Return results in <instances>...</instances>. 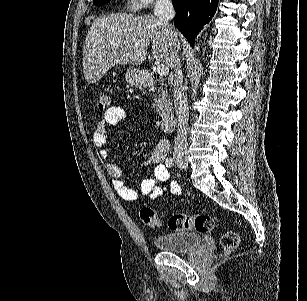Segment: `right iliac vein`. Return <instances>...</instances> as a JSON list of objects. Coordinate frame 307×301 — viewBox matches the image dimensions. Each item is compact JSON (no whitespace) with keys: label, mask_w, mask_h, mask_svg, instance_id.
Instances as JSON below:
<instances>
[{"label":"right iliac vein","mask_w":307,"mask_h":301,"mask_svg":"<svg viewBox=\"0 0 307 301\" xmlns=\"http://www.w3.org/2000/svg\"><path fill=\"white\" fill-rule=\"evenodd\" d=\"M176 163L180 168H183L184 170L188 169V161L183 156H177Z\"/></svg>","instance_id":"obj_1"}]
</instances>
